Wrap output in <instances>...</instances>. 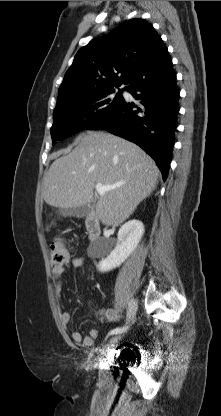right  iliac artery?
Returning a JSON list of instances; mask_svg holds the SVG:
<instances>
[{
	"label": "right iliac artery",
	"mask_w": 221,
	"mask_h": 416,
	"mask_svg": "<svg viewBox=\"0 0 221 416\" xmlns=\"http://www.w3.org/2000/svg\"><path fill=\"white\" fill-rule=\"evenodd\" d=\"M126 329H127V327H120V328L117 327V328L111 330L109 334L112 335V334L122 333L123 331H126Z\"/></svg>",
	"instance_id": "1"
}]
</instances>
